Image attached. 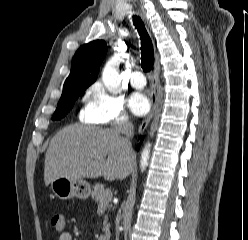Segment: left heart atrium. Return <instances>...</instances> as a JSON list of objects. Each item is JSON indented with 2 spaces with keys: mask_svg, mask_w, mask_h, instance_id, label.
<instances>
[{
  "mask_svg": "<svg viewBox=\"0 0 248 240\" xmlns=\"http://www.w3.org/2000/svg\"><path fill=\"white\" fill-rule=\"evenodd\" d=\"M129 108L135 115H144L149 110V101L144 94L135 92L130 97Z\"/></svg>",
  "mask_w": 248,
  "mask_h": 240,
  "instance_id": "1",
  "label": "left heart atrium"
}]
</instances>
